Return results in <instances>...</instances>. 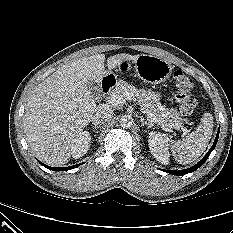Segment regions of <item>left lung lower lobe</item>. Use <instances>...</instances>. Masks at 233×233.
I'll list each match as a JSON object with an SVG mask.
<instances>
[{"mask_svg": "<svg viewBox=\"0 0 233 233\" xmlns=\"http://www.w3.org/2000/svg\"><path fill=\"white\" fill-rule=\"evenodd\" d=\"M219 131H220V128L218 130L217 136H216V138L214 140V143H213L212 147L210 148V150L207 152V154L203 157V159L199 163H197L193 167H190V168L185 169V170H179V171L165 170V172L173 174V175L181 176V175L191 173V172L197 170L199 167H201L205 163L207 158L209 157L210 153L214 150V148H215V146L217 144V141H218Z\"/></svg>", "mask_w": 233, "mask_h": 233, "instance_id": "1", "label": "left lung lower lobe"}]
</instances>
